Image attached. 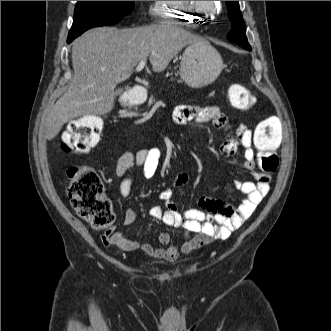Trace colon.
<instances>
[{
  "label": "colon",
  "mask_w": 331,
  "mask_h": 331,
  "mask_svg": "<svg viewBox=\"0 0 331 331\" xmlns=\"http://www.w3.org/2000/svg\"><path fill=\"white\" fill-rule=\"evenodd\" d=\"M228 99L238 110H246L253 103L251 93L240 84L228 89ZM103 120L97 116H84L72 121L64 132L61 148L68 153L88 152L100 139ZM283 135V122L271 116L259 123L254 141L264 152L258 158V167L263 173H271L278 166L275 149L279 147ZM67 194L76 213L96 229H109L115 220L112 204L104 192L102 181L92 169L72 166L67 174Z\"/></svg>",
  "instance_id": "5ec220e1"
}]
</instances>
